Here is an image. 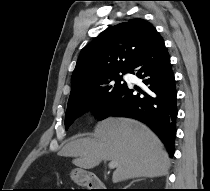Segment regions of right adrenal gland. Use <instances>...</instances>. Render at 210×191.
I'll return each instance as SVG.
<instances>
[{
  "instance_id": "right-adrenal-gland-1",
  "label": "right adrenal gland",
  "mask_w": 210,
  "mask_h": 191,
  "mask_svg": "<svg viewBox=\"0 0 210 191\" xmlns=\"http://www.w3.org/2000/svg\"><path fill=\"white\" fill-rule=\"evenodd\" d=\"M142 179L133 180L127 187L131 186L134 182L140 181Z\"/></svg>"
}]
</instances>
